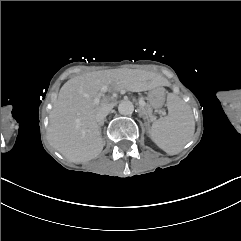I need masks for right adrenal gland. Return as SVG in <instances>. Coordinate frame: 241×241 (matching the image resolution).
<instances>
[{"instance_id":"right-adrenal-gland-1","label":"right adrenal gland","mask_w":241,"mask_h":241,"mask_svg":"<svg viewBox=\"0 0 241 241\" xmlns=\"http://www.w3.org/2000/svg\"><path fill=\"white\" fill-rule=\"evenodd\" d=\"M100 126H102V125H99V130H100V133H101V127Z\"/></svg>"}]
</instances>
